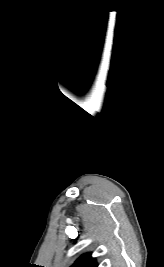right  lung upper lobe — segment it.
<instances>
[{
	"instance_id": "1",
	"label": "right lung upper lobe",
	"mask_w": 164,
	"mask_h": 267,
	"mask_svg": "<svg viewBox=\"0 0 164 267\" xmlns=\"http://www.w3.org/2000/svg\"><path fill=\"white\" fill-rule=\"evenodd\" d=\"M71 267H97L95 259L91 258V254L87 253L81 256Z\"/></svg>"
}]
</instances>
